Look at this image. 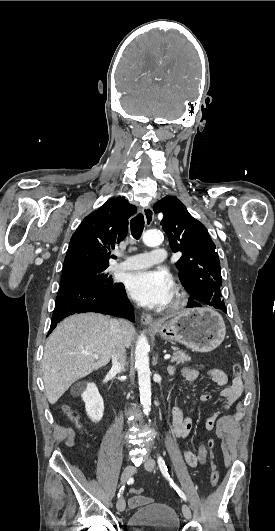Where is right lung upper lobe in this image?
Listing matches in <instances>:
<instances>
[{
  "label": "right lung upper lobe",
  "instance_id": "cb5924a9",
  "mask_svg": "<svg viewBox=\"0 0 275 531\" xmlns=\"http://www.w3.org/2000/svg\"><path fill=\"white\" fill-rule=\"evenodd\" d=\"M124 197L109 199L89 214L72 235L63 271L79 266H109L110 250L128 232V220L136 213Z\"/></svg>",
  "mask_w": 275,
  "mask_h": 531
}]
</instances>
